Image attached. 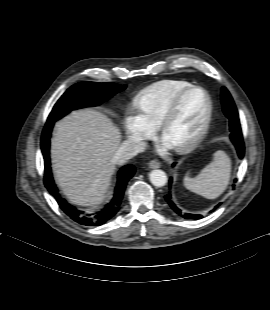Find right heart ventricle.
I'll return each mask as SVG.
<instances>
[{"instance_id":"obj_1","label":"right heart ventricle","mask_w":270,"mask_h":310,"mask_svg":"<svg viewBox=\"0 0 270 310\" xmlns=\"http://www.w3.org/2000/svg\"><path fill=\"white\" fill-rule=\"evenodd\" d=\"M192 86L183 80H164L144 89L137 97V105L146 119L157 127L172 100Z\"/></svg>"}]
</instances>
